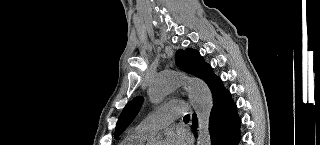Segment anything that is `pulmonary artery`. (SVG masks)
Segmentation results:
<instances>
[{
	"mask_svg": "<svg viewBox=\"0 0 320 145\" xmlns=\"http://www.w3.org/2000/svg\"><path fill=\"white\" fill-rule=\"evenodd\" d=\"M186 113L185 104L181 101H175L159 107L149 117L141 121L135 130L151 138L156 132L167 126L174 119Z\"/></svg>",
	"mask_w": 320,
	"mask_h": 145,
	"instance_id": "pulmonary-artery-1",
	"label": "pulmonary artery"
}]
</instances>
